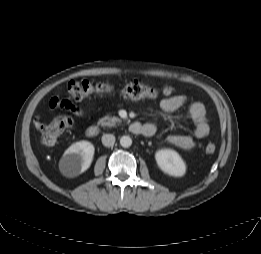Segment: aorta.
I'll return each mask as SVG.
<instances>
[{
    "label": "aorta",
    "mask_w": 261,
    "mask_h": 254,
    "mask_svg": "<svg viewBox=\"0 0 261 254\" xmlns=\"http://www.w3.org/2000/svg\"><path fill=\"white\" fill-rule=\"evenodd\" d=\"M120 145L124 148H128L132 145V139L129 136H122L120 138Z\"/></svg>",
    "instance_id": "aorta-1"
}]
</instances>
